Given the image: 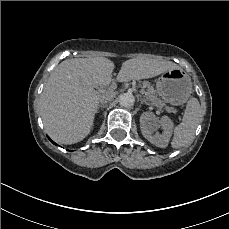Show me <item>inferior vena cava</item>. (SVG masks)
I'll use <instances>...</instances> for the list:
<instances>
[{
    "instance_id": "obj_1",
    "label": "inferior vena cava",
    "mask_w": 229,
    "mask_h": 229,
    "mask_svg": "<svg viewBox=\"0 0 229 229\" xmlns=\"http://www.w3.org/2000/svg\"><path fill=\"white\" fill-rule=\"evenodd\" d=\"M125 95H122L121 97H124ZM100 103L102 104V105H104L105 103H107V100H104V99H101L100 100Z\"/></svg>"
}]
</instances>
